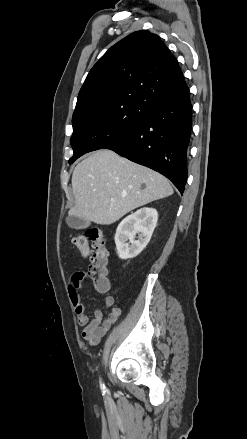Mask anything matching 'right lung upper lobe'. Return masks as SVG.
<instances>
[{"instance_id":"cb5924a9","label":"right lung upper lobe","mask_w":247,"mask_h":439,"mask_svg":"<svg viewBox=\"0 0 247 439\" xmlns=\"http://www.w3.org/2000/svg\"><path fill=\"white\" fill-rule=\"evenodd\" d=\"M188 90L177 59L149 31H136L112 46L93 66L74 114L116 100L156 102Z\"/></svg>"}]
</instances>
